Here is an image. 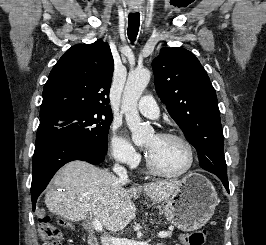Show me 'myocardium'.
<instances>
[{
	"instance_id": "obj_1",
	"label": "myocardium",
	"mask_w": 266,
	"mask_h": 245,
	"mask_svg": "<svg viewBox=\"0 0 266 245\" xmlns=\"http://www.w3.org/2000/svg\"><path fill=\"white\" fill-rule=\"evenodd\" d=\"M158 136L163 137L165 139H174L177 141H180L181 143H183L185 145V147L187 148L188 151V163L185 167V169L183 171H181L180 173L177 174H166V173H162L160 171H158L153 164L151 163L149 157H147L146 159V165L148 168V171L150 172L151 175L158 177V178H164V179H180L183 178L184 176H186L191 169L194 166L195 163V149L193 147V145L191 144V142L185 138L184 136L177 134V133H172V132H163L160 133Z\"/></svg>"
}]
</instances>
